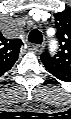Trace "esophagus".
<instances>
[{"mask_svg": "<svg viewBox=\"0 0 71 119\" xmlns=\"http://www.w3.org/2000/svg\"><path fill=\"white\" fill-rule=\"evenodd\" d=\"M44 49V44H34L31 46L33 52H41Z\"/></svg>", "mask_w": 71, "mask_h": 119, "instance_id": "34e87169", "label": "esophagus"}]
</instances>
